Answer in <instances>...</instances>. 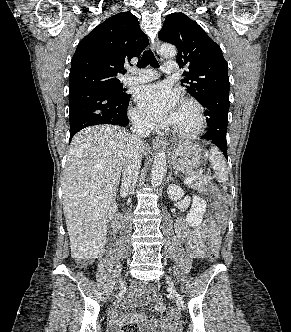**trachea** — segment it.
<instances>
[{"label": "trachea", "instance_id": "trachea-1", "mask_svg": "<svg viewBox=\"0 0 291 332\" xmlns=\"http://www.w3.org/2000/svg\"><path fill=\"white\" fill-rule=\"evenodd\" d=\"M148 64L151 65L154 68H158L159 67L158 62H157L154 54L152 53V51L150 49L144 51L141 60L137 64V67L143 68V67H145Z\"/></svg>", "mask_w": 291, "mask_h": 332}]
</instances>
